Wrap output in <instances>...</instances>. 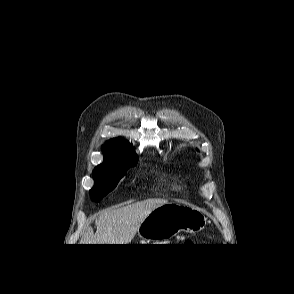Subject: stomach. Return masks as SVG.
<instances>
[{
	"label": "stomach",
	"instance_id": "stomach-1",
	"mask_svg": "<svg viewBox=\"0 0 294 294\" xmlns=\"http://www.w3.org/2000/svg\"><path fill=\"white\" fill-rule=\"evenodd\" d=\"M207 218L194 207L167 202L154 209L140 224L138 237L147 244L167 241L179 232L196 233L204 229Z\"/></svg>",
	"mask_w": 294,
	"mask_h": 294
}]
</instances>
